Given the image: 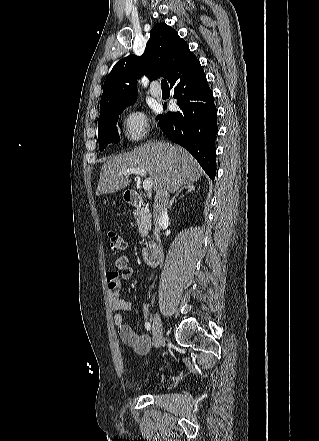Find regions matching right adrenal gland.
Listing matches in <instances>:
<instances>
[{"label":"right adrenal gland","mask_w":319,"mask_h":441,"mask_svg":"<svg viewBox=\"0 0 319 441\" xmlns=\"http://www.w3.org/2000/svg\"><path fill=\"white\" fill-rule=\"evenodd\" d=\"M182 190H185L186 192H192L195 190V187L192 183H187L181 190H179L170 201L168 208L171 209L172 205L174 204L175 199L179 196V194L182 192Z\"/></svg>","instance_id":"right-adrenal-gland-1"}]
</instances>
